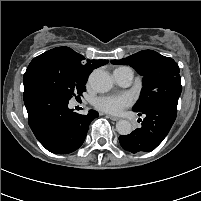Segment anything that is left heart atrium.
<instances>
[{
	"label": "left heart atrium",
	"mask_w": 201,
	"mask_h": 201,
	"mask_svg": "<svg viewBox=\"0 0 201 201\" xmlns=\"http://www.w3.org/2000/svg\"><path fill=\"white\" fill-rule=\"evenodd\" d=\"M131 103L132 99L127 94L101 96L94 101V105L97 109L111 114L119 113Z\"/></svg>",
	"instance_id": "left-heart-atrium-1"
}]
</instances>
